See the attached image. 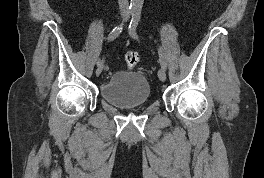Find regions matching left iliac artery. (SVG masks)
I'll return each instance as SVG.
<instances>
[{
    "label": "left iliac artery",
    "mask_w": 264,
    "mask_h": 178,
    "mask_svg": "<svg viewBox=\"0 0 264 178\" xmlns=\"http://www.w3.org/2000/svg\"><path fill=\"white\" fill-rule=\"evenodd\" d=\"M140 17H141V12L140 10H136L133 12L132 15V19L129 25V34L132 38L134 39H139L137 33H136V27L140 21ZM159 52V61H160V65L163 69L167 68V61H166V56L165 53L163 52V50L161 48H159L158 50Z\"/></svg>",
    "instance_id": "obj_1"
}]
</instances>
